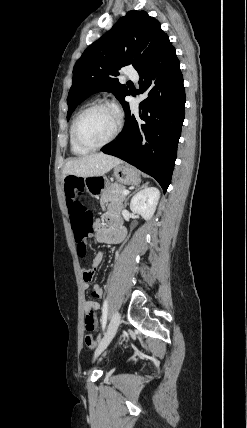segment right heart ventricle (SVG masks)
Listing matches in <instances>:
<instances>
[{
	"label": "right heart ventricle",
	"instance_id": "right-heart-ventricle-1",
	"mask_svg": "<svg viewBox=\"0 0 247 428\" xmlns=\"http://www.w3.org/2000/svg\"><path fill=\"white\" fill-rule=\"evenodd\" d=\"M73 124V123H72ZM69 141H70V148L73 154L75 155H85L87 154L90 150L84 149L80 146H78L72 136V125L70 127V131H69Z\"/></svg>",
	"mask_w": 247,
	"mask_h": 428
}]
</instances>
